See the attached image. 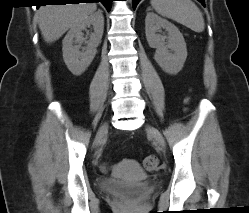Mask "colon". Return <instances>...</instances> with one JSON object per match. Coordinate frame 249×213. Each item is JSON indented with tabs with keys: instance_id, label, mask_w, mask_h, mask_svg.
<instances>
[{
	"instance_id": "1",
	"label": "colon",
	"mask_w": 249,
	"mask_h": 213,
	"mask_svg": "<svg viewBox=\"0 0 249 213\" xmlns=\"http://www.w3.org/2000/svg\"><path fill=\"white\" fill-rule=\"evenodd\" d=\"M143 166L147 170H155L159 166V160L154 155H149L144 158Z\"/></svg>"
}]
</instances>
